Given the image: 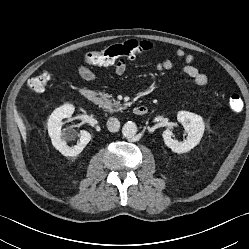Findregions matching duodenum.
<instances>
[{"instance_id":"1","label":"duodenum","mask_w":249,"mask_h":249,"mask_svg":"<svg viewBox=\"0 0 249 249\" xmlns=\"http://www.w3.org/2000/svg\"><path fill=\"white\" fill-rule=\"evenodd\" d=\"M80 94L84 99L89 102H95L98 100V94L95 90L91 88L84 87L80 90ZM148 112V107L144 104L137 105L134 108V114L137 116H143Z\"/></svg>"}]
</instances>
